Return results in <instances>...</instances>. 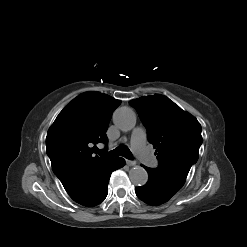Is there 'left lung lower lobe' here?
<instances>
[{
  "label": "left lung lower lobe",
  "mask_w": 247,
  "mask_h": 247,
  "mask_svg": "<svg viewBox=\"0 0 247 247\" xmlns=\"http://www.w3.org/2000/svg\"><path fill=\"white\" fill-rule=\"evenodd\" d=\"M144 168L148 172V182L142 187L135 188V192L138 198L146 204H163L181 188L159 169H152L146 166Z\"/></svg>",
  "instance_id": "obj_1"
}]
</instances>
